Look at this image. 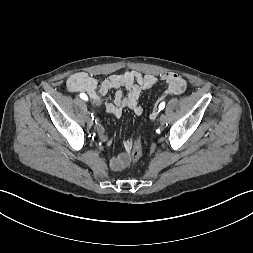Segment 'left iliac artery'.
<instances>
[{"mask_svg":"<svg viewBox=\"0 0 253 253\" xmlns=\"http://www.w3.org/2000/svg\"><path fill=\"white\" fill-rule=\"evenodd\" d=\"M164 107H165V103L162 102V103L159 105V111L162 110V109H164Z\"/></svg>","mask_w":253,"mask_h":253,"instance_id":"left-iliac-artery-1","label":"left iliac artery"}]
</instances>
